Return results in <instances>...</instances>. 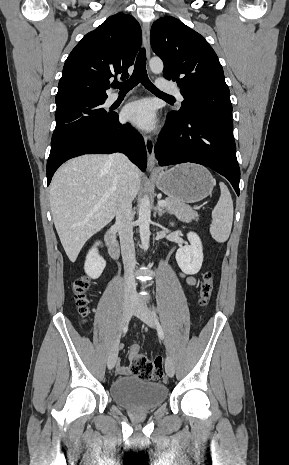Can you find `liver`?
<instances>
[{"label":"liver","mask_w":289,"mask_h":465,"mask_svg":"<svg viewBox=\"0 0 289 465\" xmlns=\"http://www.w3.org/2000/svg\"><path fill=\"white\" fill-rule=\"evenodd\" d=\"M109 155H83L63 164L50 184V206L55 228L71 262L95 233L116 215L118 174ZM128 189L134 200L141 182L140 170L129 161Z\"/></svg>","instance_id":"6515ba94"}]
</instances>
